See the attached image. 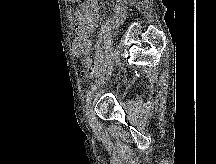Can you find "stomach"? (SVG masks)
<instances>
[{"label":"stomach","instance_id":"obj_1","mask_svg":"<svg viewBox=\"0 0 216 164\" xmlns=\"http://www.w3.org/2000/svg\"><path fill=\"white\" fill-rule=\"evenodd\" d=\"M75 1L77 2V1H79V0H73V2H75Z\"/></svg>","mask_w":216,"mask_h":164}]
</instances>
